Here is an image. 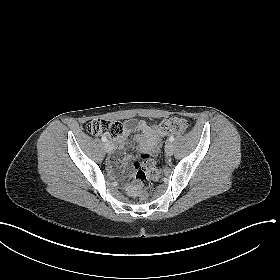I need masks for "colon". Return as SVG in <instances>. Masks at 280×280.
Returning a JSON list of instances; mask_svg holds the SVG:
<instances>
[{
  "label": "colon",
  "instance_id": "colon-1",
  "mask_svg": "<svg viewBox=\"0 0 280 280\" xmlns=\"http://www.w3.org/2000/svg\"><path fill=\"white\" fill-rule=\"evenodd\" d=\"M122 124L118 121H112L102 118L92 120L87 125V131L94 135H107L109 137H118L122 134ZM187 123L179 117H171L164 120L158 127L157 131L160 135L170 133H182L186 130ZM142 165H135V171L132 175L133 180L138 186V195L141 200L148 199V179L158 178L160 171L156 168L154 162L149 159V156L143 157Z\"/></svg>",
  "mask_w": 280,
  "mask_h": 280
}]
</instances>
